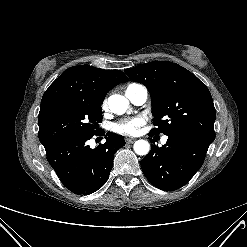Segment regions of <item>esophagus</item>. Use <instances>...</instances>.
I'll return each instance as SVG.
<instances>
[{"instance_id": "obj_1", "label": "esophagus", "mask_w": 247, "mask_h": 247, "mask_svg": "<svg viewBox=\"0 0 247 247\" xmlns=\"http://www.w3.org/2000/svg\"><path fill=\"white\" fill-rule=\"evenodd\" d=\"M135 140V138H126V143L130 144L133 143Z\"/></svg>"}]
</instances>
